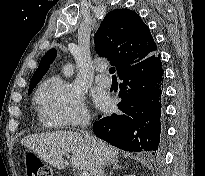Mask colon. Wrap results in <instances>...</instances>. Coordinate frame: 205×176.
<instances>
[{"instance_id": "5ec220e1", "label": "colon", "mask_w": 205, "mask_h": 176, "mask_svg": "<svg viewBox=\"0 0 205 176\" xmlns=\"http://www.w3.org/2000/svg\"><path fill=\"white\" fill-rule=\"evenodd\" d=\"M27 176H52L51 168L32 152L24 155Z\"/></svg>"}]
</instances>
